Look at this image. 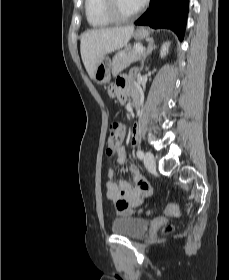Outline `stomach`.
<instances>
[{"label":"stomach","mask_w":229,"mask_h":280,"mask_svg":"<svg viewBox=\"0 0 229 280\" xmlns=\"http://www.w3.org/2000/svg\"><path fill=\"white\" fill-rule=\"evenodd\" d=\"M149 35L150 32L148 29L144 27H140L134 32L133 37L135 40H142L148 38ZM110 69H111L110 59L108 57H103L96 66L93 80L100 84L109 83L111 78Z\"/></svg>","instance_id":"0dacf381"}]
</instances>
